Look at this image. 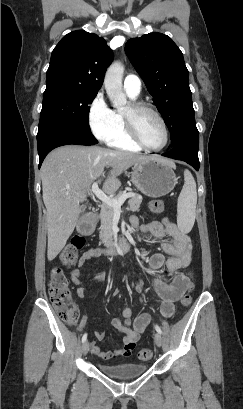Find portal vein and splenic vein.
I'll list each match as a JSON object with an SVG mask.
<instances>
[{"label": "portal vein and splenic vein", "mask_w": 243, "mask_h": 409, "mask_svg": "<svg viewBox=\"0 0 243 409\" xmlns=\"http://www.w3.org/2000/svg\"><path fill=\"white\" fill-rule=\"evenodd\" d=\"M91 192L95 194V196L101 200L104 204L112 207L115 211H120L122 204L125 202L127 198L132 197L133 193H125L120 198L115 199L109 197L105 192H103L98 187V182H94L91 187Z\"/></svg>", "instance_id": "18ae733b"}]
</instances>
